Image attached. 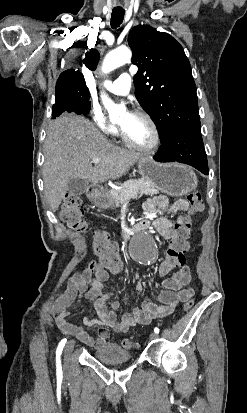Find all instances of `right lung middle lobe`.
Instances as JSON below:
<instances>
[{"label":"right lung middle lobe","mask_w":247,"mask_h":413,"mask_svg":"<svg viewBox=\"0 0 247 413\" xmlns=\"http://www.w3.org/2000/svg\"><path fill=\"white\" fill-rule=\"evenodd\" d=\"M55 91L56 100L73 99L82 104L86 110H90V94L85 81L59 82L56 83Z\"/></svg>","instance_id":"obj_1"}]
</instances>
